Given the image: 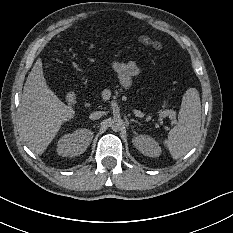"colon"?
<instances>
[{
  "instance_id": "1",
  "label": "colon",
  "mask_w": 233,
  "mask_h": 233,
  "mask_svg": "<svg viewBox=\"0 0 233 233\" xmlns=\"http://www.w3.org/2000/svg\"><path fill=\"white\" fill-rule=\"evenodd\" d=\"M147 43H149V41ZM156 46L158 47L159 45L156 44ZM47 67H51V64H47Z\"/></svg>"
}]
</instances>
